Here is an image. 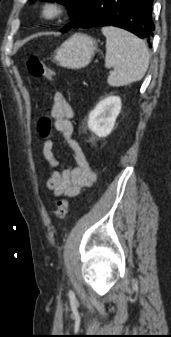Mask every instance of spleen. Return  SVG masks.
<instances>
[{
	"instance_id": "1",
	"label": "spleen",
	"mask_w": 171,
	"mask_h": 337,
	"mask_svg": "<svg viewBox=\"0 0 171 337\" xmlns=\"http://www.w3.org/2000/svg\"><path fill=\"white\" fill-rule=\"evenodd\" d=\"M106 37L105 67L113 68L107 82L113 87L140 81L149 66V52L143 40L123 29L102 28Z\"/></svg>"
}]
</instances>
